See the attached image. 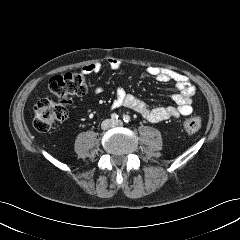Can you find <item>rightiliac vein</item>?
<instances>
[{
	"mask_svg": "<svg viewBox=\"0 0 240 240\" xmlns=\"http://www.w3.org/2000/svg\"><path fill=\"white\" fill-rule=\"evenodd\" d=\"M111 125H112V122H111L110 120H106V121L103 122L102 127H103L104 129H107V128H109Z\"/></svg>",
	"mask_w": 240,
	"mask_h": 240,
	"instance_id": "obj_1",
	"label": "right iliac vein"
}]
</instances>
